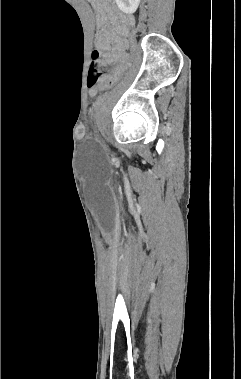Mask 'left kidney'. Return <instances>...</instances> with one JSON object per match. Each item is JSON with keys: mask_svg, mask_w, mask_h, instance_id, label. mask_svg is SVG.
Returning a JSON list of instances; mask_svg holds the SVG:
<instances>
[{"mask_svg": "<svg viewBox=\"0 0 241 379\" xmlns=\"http://www.w3.org/2000/svg\"><path fill=\"white\" fill-rule=\"evenodd\" d=\"M119 9L126 13V14H132L134 13L140 3V0H115Z\"/></svg>", "mask_w": 241, "mask_h": 379, "instance_id": "5707ae66", "label": "left kidney"}]
</instances>
